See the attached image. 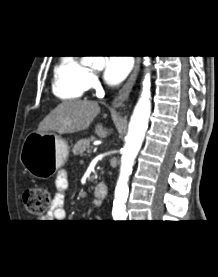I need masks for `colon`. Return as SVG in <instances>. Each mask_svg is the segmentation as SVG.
Listing matches in <instances>:
<instances>
[{"label": "colon", "mask_w": 218, "mask_h": 277, "mask_svg": "<svg viewBox=\"0 0 218 277\" xmlns=\"http://www.w3.org/2000/svg\"><path fill=\"white\" fill-rule=\"evenodd\" d=\"M23 201L29 214L41 216L45 214L50 207V190L44 187L27 188L24 192Z\"/></svg>", "instance_id": "colon-1"}]
</instances>
